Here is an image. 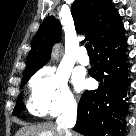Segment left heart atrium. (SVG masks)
Here are the masks:
<instances>
[{
	"mask_svg": "<svg viewBox=\"0 0 136 136\" xmlns=\"http://www.w3.org/2000/svg\"><path fill=\"white\" fill-rule=\"evenodd\" d=\"M75 84H76V87L80 89L86 86V81L83 78L78 77L75 80Z\"/></svg>",
	"mask_w": 136,
	"mask_h": 136,
	"instance_id": "obj_1",
	"label": "left heart atrium"
}]
</instances>
